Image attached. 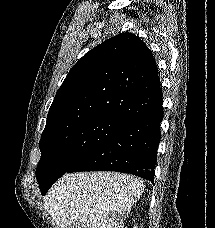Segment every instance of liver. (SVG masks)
Segmentation results:
<instances>
[{
	"label": "liver",
	"instance_id": "liver-1",
	"mask_svg": "<svg viewBox=\"0 0 215 228\" xmlns=\"http://www.w3.org/2000/svg\"><path fill=\"white\" fill-rule=\"evenodd\" d=\"M143 180L119 172L64 174L43 198L59 228H124Z\"/></svg>",
	"mask_w": 215,
	"mask_h": 228
}]
</instances>
